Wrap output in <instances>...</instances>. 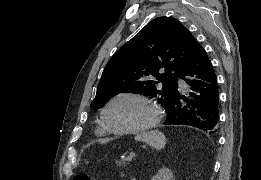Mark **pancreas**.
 I'll return each instance as SVG.
<instances>
[{
    "instance_id": "obj_1",
    "label": "pancreas",
    "mask_w": 261,
    "mask_h": 180,
    "mask_svg": "<svg viewBox=\"0 0 261 180\" xmlns=\"http://www.w3.org/2000/svg\"><path fill=\"white\" fill-rule=\"evenodd\" d=\"M115 167H116V170H124L125 166L123 164V160L117 159L116 162H115Z\"/></svg>"
}]
</instances>
